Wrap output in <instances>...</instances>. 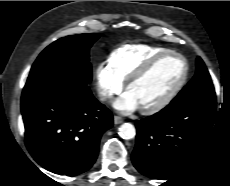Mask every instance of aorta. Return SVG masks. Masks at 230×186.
I'll return each instance as SVG.
<instances>
[{
  "label": "aorta",
  "instance_id": "obj_1",
  "mask_svg": "<svg viewBox=\"0 0 230 186\" xmlns=\"http://www.w3.org/2000/svg\"><path fill=\"white\" fill-rule=\"evenodd\" d=\"M118 131L120 137L126 140L132 139L136 135V129L131 123H123Z\"/></svg>",
  "mask_w": 230,
  "mask_h": 186
}]
</instances>
